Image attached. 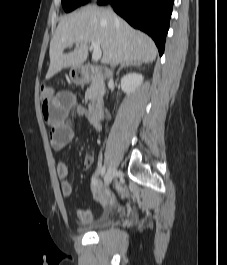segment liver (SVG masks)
I'll return each mask as SVG.
<instances>
[{"label":"liver","instance_id":"liver-1","mask_svg":"<svg viewBox=\"0 0 227 265\" xmlns=\"http://www.w3.org/2000/svg\"><path fill=\"white\" fill-rule=\"evenodd\" d=\"M111 10L89 6L61 18L51 39L50 65L46 79L67 67H80L88 57L91 42H98L104 65L139 61L153 62L157 48L146 34L132 28ZM76 44L65 54L64 50Z\"/></svg>","mask_w":227,"mask_h":265}]
</instances>
